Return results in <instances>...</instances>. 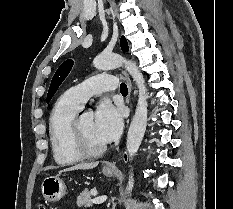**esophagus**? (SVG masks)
<instances>
[{"label":"esophagus","mask_w":233,"mask_h":209,"mask_svg":"<svg viewBox=\"0 0 233 209\" xmlns=\"http://www.w3.org/2000/svg\"><path fill=\"white\" fill-rule=\"evenodd\" d=\"M124 75H125V77H126V79L128 81V90H129V97H130L131 90H132L131 81H130L129 76L126 74V72H124ZM106 166L109 167V168H115V165L111 164V163L107 164Z\"/></svg>","instance_id":"34e87169"}]
</instances>
